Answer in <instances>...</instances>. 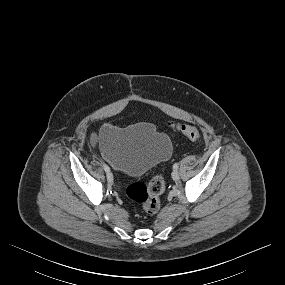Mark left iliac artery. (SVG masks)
Wrapping results in <instances>:
<instances>
[{
	"label": "left iliac artery",
	"mask_w": 285,
	"mask_h": 285,
	"mask_svg": "<svg viewBox=\"0 0 285 285\" xmlns=\"http://www.w3.org/2000/svg\"><path fill=\"white\" fill-rule=\"evenodd\" d=\"M178 167H179V164H178V163H175V164L173 165V169H174V170H177Z\"/></svg>",
	"instance_id": "44dca946"
}]
</instances>
